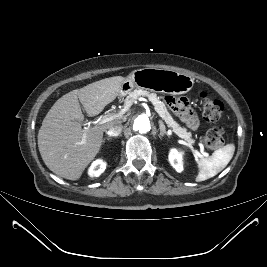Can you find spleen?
Wrapping results in <instances>:
<instances>
[{
    "mask_svg": "<svg viewBox=\"0 0 267 267\" xmlns=\"http://www.w3.org/2000/svg\"><path fill=\"white\" fill-rule=\"evenodd\" d=\"M235 152L234 144H227L208 157L199 162V173L196 177L197 182L205 181L221 172L230 162Z\"/></svg>",
    "mask_w": 267,
    "mask_h": 267,
    "instance_id": "spleen-1",
    "label": "spleen"
}]
</instances>
